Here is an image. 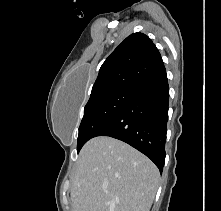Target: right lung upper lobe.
<instances>
[{
    "instance_id": "1",
    "label": "right lung upper lobe",
    "mask_w": 221,
    "mask_h": 211,
    "mask_svg": "<svg viewBox=\"0 0 221 211\" xmlns=\"http://www.w3.org/2000/svg\"><path fill=\"white\" fill-rule=\"evenodd\" d=\"M164 75V63L154 43L143 33H133L102 64L90 98L116 88L134 89Z\"/></svg>"
}]
</instances>
